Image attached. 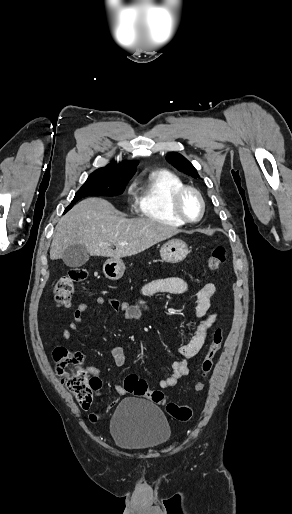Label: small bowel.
Listing matches in <instances>:
<instances>
[{
	"mask_svg": "<svg viewBox=\"0 0 292 514\" xmlns=\"http://www.w3.org/2000/svg\"><path fill=\"white\" fill-rule=\"evenodd\" d=\"M189 290L187 280L179 277H169L150 281L139 288L136 299L133 303L118 298L106 299L104 296H97L94 303L98 307L108 305L116 313L120 314L124 319L141 321L148 315V308L143 300L144 297L155 294H183ZM216 292V286L213 283L204 284L196 294L195 316L200 321L194 325L190 340L187 344L179 348V353L183 356V360L175 361L172 364V373L158 382L160 389H167L177 385L179 380L190 373V361L196 357L200 349L204 345L208 330L216 322L218 311L212 308V297ZM89 309V304L82 302L77 305L74 310L73 320L63 331L62 336L65 340H71L74 332L83 322L85 313ZM110 352L113 356L116 366L122 367L126 362V354L124 349L119 345H112ZM91 373L99 375V366H89ZM114 389L119 395H125V390L120 382L114 384ZM120 397L116 396L112 401L114 406L119 404ZM109 404L107 412L114 409Z\"/></svg>",
	"mask_w": 292,
	"mask_h": 514,
	"instance_id": "1",
	"label": "small bowel"
}]
</instances>
